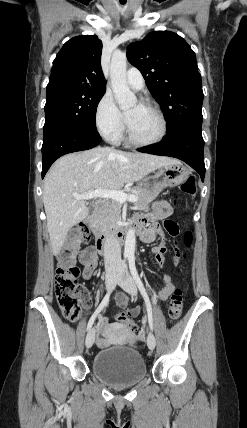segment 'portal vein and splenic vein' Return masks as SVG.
Returning <instances> with one entry per match:
<instances>
[{"instance_id": "obj_1", "label": "portal vein and splenic vein", "mask_w": 247, "mask_h": 428, "mask_svg": "<svg viewBox=\"0 0 247 428\" xmlns=\"http://www.w3.org/2000/svg\"><path fill=\"white\" fill-rule=\"evenodd\" d=\"M74 197L78 200H90L92 198L100 197V198H110L112 200L118 201L120 203H124L126 201L136 202L138 197L131 194H126L123 191L119 190H105L102 188H97L96 190L83 194V195H74Z\"/></svg>"}]
</instances>
